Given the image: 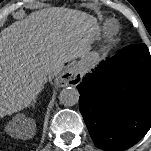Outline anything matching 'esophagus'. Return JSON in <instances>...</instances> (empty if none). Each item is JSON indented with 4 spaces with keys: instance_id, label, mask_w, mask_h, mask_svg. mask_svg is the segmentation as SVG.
I'll list each match as a JSON object with an SVG mask.
<instances>
[{
    "instance_id": "esophagus-1",
    "label": "esophagus",
    "mask_w": 151,
    "mask_h": 151,
    "mask_svg": "<svg viewBox=\"0 0 151 151\" xmlns=\"http://www.w3.org/2000/svg\"><path fill=\"white\" fill-rule=\"evenodd\" d=\"M82 80V73L78 66H72L65 70L57 79L56 85L59 87L77 86Z\"/></svg>"
}]
</instances>
